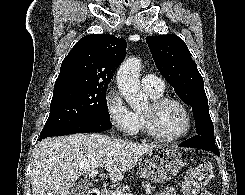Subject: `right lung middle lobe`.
<instances>
[{"label":"right lung middle lobe","instance_id":"right-lung-middle-lobe-1","mask_svg":"<svg viewBox=\"0 0 245 195\" xmlns=\"http://www.w3.org/2000/svg\"><path fill=\"white\" fill-rule=\"evenodd\" d=\"M106 90L107 88H75L54 92L50 115L40 138L91 119L110 120Z\"/></svg>","mask_w":245,"mask_h":195}]
</instances>
